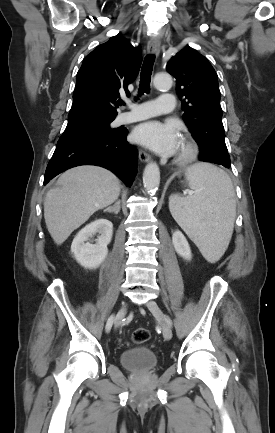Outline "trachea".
<instances>
[{
	"mask_svg": "<svg viewBox=\"0 0 275 433\" xmlns=\"http://www.w3.org/2000/svg\"><path fill=\"white\" fill-rule=\"evenodd\" d=\"M153 64L154 55H148L145 58L141 69L139 94L149 92ZM118 104L122 105L123 101H119Z\"/></svg>",
	"mask_w": 275,
	"mask_h": 433,
	"instance_id": "3493384b",
	"label": "trachea"
}]
</instances>
